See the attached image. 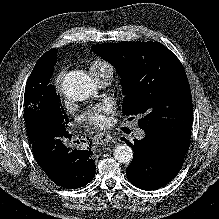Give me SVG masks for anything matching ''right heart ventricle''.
<instances>
[{"mask_svg":"<svg viewBox=\"0 0 219 219\" xmlns=\"http://www.w3.org/2000/svg\"><path fill=\"white\" fill-rule=\"evenodd\" d=\"M88 68L92 76H96L104 72H113L112 66L102 59H94L90 61Z\"/></svg>","mask_w":219,"mask_h":219,"instance_id":"1","label":"right heart ventricle"}]
</instances>
